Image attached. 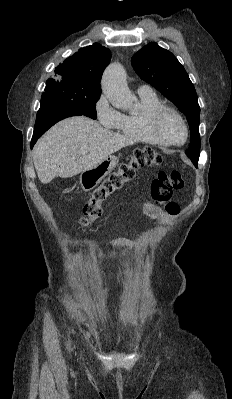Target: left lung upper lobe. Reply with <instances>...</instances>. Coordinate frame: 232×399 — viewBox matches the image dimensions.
Returning <instances> with one entry per match:
<instances>
[{"mask_svg":"<svg viewBox=\"0 0 232 399\" xmlns=\"http://www.w3.org/2000/svg\"><path fill=\"white\" fill-rule=\"evenodd\" d=\"M136 73L172 101L186 115L190 126V146L185 154L197 166L200 155V107L195 88L184 67L168 50L149 43L133 55Z\"/></svg>","mask_w":232,"mask_h":399,"instance_id":"5c2ea615","label":"left lung upper lobe"}]
</instances>
